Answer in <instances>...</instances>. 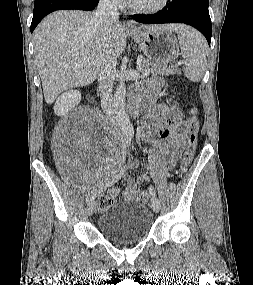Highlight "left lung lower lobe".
Segmentation results:
<instances>
[{
	"instance_id": "1",
	"label": "left lung lower lobe",
	"mask_w": 253,
	"mask_h": 285,
	"mask_svg": "<svg viewBox=\"0 0 253 285\" xmlns=\"http://www.w3.org/2000/svg\"><path fill=\"white\" fill-rule=\"evenodd\" d=\"M209 0H169L156 14H136L132 19L146 24L185 23L198 29L210 46L212 24L208 10Z\"/></svg>"
}]
</instances>
